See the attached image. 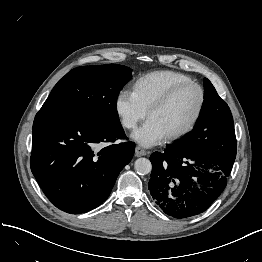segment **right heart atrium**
Listing matches in <instances>:
<instances>
[{
  "label": "right heart atrium",
  "instance_id": "right-heart-atrium-1",
  "mask_svg": "<svg viewBox=\"0 0 262 262\" xmlns=\"http://www.w3.org/2000/svg\"><path fill=\"white\" fill-rule=\"evenodd\" d=\"M115 109L121 124L134 129L147 116V110L140 104L132 91L121 90L115 100Z\"/></svg>",
  "mask_w": 262,
  "mask_h": 262
}]
</instances>
